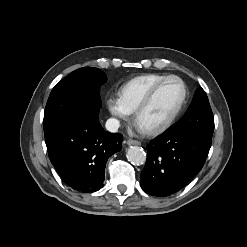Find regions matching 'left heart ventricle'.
Here are the masks:
<instances>
[{
	"label": "left heart ventricle",
	"mask_w": 247,
	"mask_h": 247,
	"mask_svg": "<svg viewBox=\"0 0 247 247\" xmlns=\"http://www.w3.org/2000/svg\"><path fill=\"white\" fill-rule=\"evenodd\" d=\"M183 97V86L178 80L166 82L157 92L149 107L141 114L139 126L148 130L167 120Z\"/></svg>",
	"instance_id": "left-heart-ventricle-1"
}]
</instances>
